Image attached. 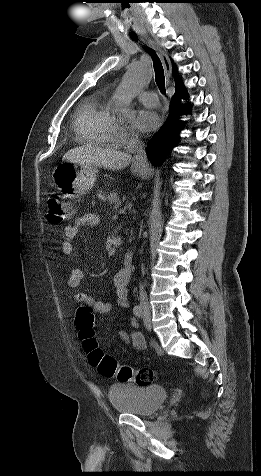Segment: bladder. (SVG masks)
Returning a JSON list of instances; mask_svg holds the SVG:
<instances>
[{
  "mask_svg": "<svg viewBox=\"0 0 261 476\" xmlns=\"http://www.w3.org/2000/svg\"><path fill=\"white\" fill-rule=\"evenodd\" d=\"M112 406L121 413L149 416L164 404L167 393L159 385L114 384L108 392Z\"/></svg>",
  "mask_w": 261,
  "mask_h": 476,
  "instance_id": "31cf9c89",
  "label": "bladder"
}]
</instances>
